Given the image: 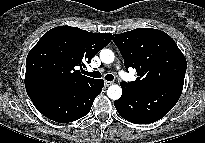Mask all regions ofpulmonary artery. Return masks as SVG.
Wrapping results in <instances>:
<instances>
[{
    "mask_svg": "<svg viewBox=\"0 0 205 143\" xmlns=\"http://www.w3.org/2000/svg\"><path fill=\"white\" fill-rule=\"evenodd\" d=\"M120 75H121L123 78H127L126 74L123 73V72H120Z\"/></svg>",
    "mask_w": 205,
    "mask_h": 143,
    "instance_id": "e3ab8cb5",
    "label": "pulmonary artery"
}]
</instances>
